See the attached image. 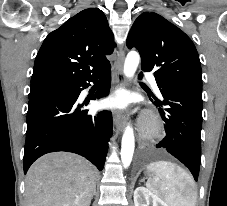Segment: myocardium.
Masks as SVG:
<instances>
[{
  "label": "myocardium",
  "mask_w": 227,
  "mask_h": 206,
  "mask_svg": "<svg viewBox=\"0 0 227 206\" xmlns=\"http://www.w3.org/2000/svg\"><path fill=\"white\" fill-rule=\"evenodd\" d=\"M163 127L158 115L147 113L141 123V135L147 140H155L161 137Z\"/></svg>",
  "instance_id": "obj_1"
}]
</instances>
